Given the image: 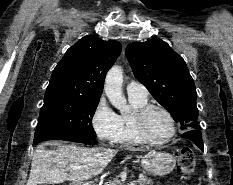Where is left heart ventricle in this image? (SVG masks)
Here are the masks:
<instances>
[{
    "mask_svg": "<svg viewBox=\"0 0 233 185\" xmlns=\"http://www.w3.org/2000/svg\"><path fill=\"white\" fill-rule=\"evenodd\" d=\"M146 131L150 138L161 140L171 132V123L166 114L154 109L149 112L145 121Z\"/></svg>",
    "mask_w": 233,
    "mask_h": 185,
    "instance_id": "obj_1",
    "label": "left heart ventricle"
}]
</instances>
